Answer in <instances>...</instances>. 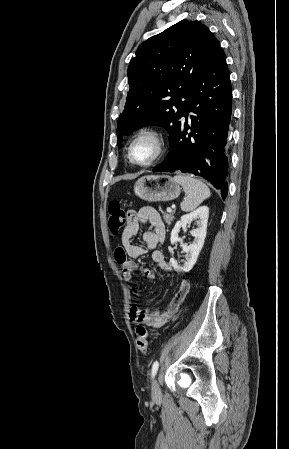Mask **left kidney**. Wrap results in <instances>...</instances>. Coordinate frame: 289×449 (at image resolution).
Returning a JSON list of instances; mask_svg holds the SVG:
<instances>
[{
    "label": "left kidney",
    "instance_id": "obj_1",
    "mask_svg": "<svg viewBox=\"0 0 289 449\" xmlns=\"http://www.w3.org/2000/svg\"><path fill=\"white\" fill-rule=\"evenodd\" d=\"M209 217V208L207 206H201L197 210L181 216L180 220L175 224L171 232V244L180 242L183 247V251L186 253V262L183 266H180L174 258L170 259V264L177 272H189L195 263L197 262L199 253L204 245L207 222ZM198 218L196 221L197 228L190 231V234L194 237V242L190 245L183 244V240L178 236L180 228H186L193 219Z\"/></svg>",
    "mask_w": 289,
    "mask_h": 449
}]
</instances>
